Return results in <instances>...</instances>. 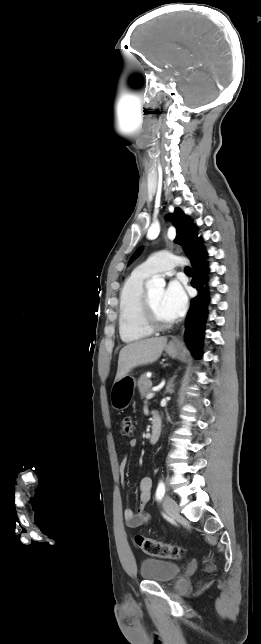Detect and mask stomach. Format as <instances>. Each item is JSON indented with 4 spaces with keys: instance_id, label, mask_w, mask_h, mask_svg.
Listing matches in <instances>:
<instances>
[{
    "instance_id": "obj_1",
    "label": "stomach",
    "mask_w": 261,
    "mask_h": 644,
    "mask_svg": "<svg viewBox=\"0 0 261 644\" xmlns=\"http://www.w3.org/2000/svg\"><path fill=\"white\" fill-rule=\"evenodd\" d=\"M165 352L173 359L187 361L188 351L181 344L170 342L165 346ZM136 380L131 375L114 382L110 392L111 405L116 410L126 409L133 400Z\"/></svg>"
}]
</instances>
